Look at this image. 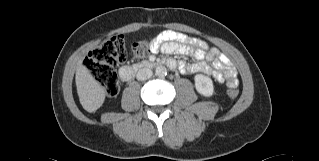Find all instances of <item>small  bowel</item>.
<instances>
[{"mask_svg": "<svg viewBox=\"0 0 319 161\" xmlns=\"http://www.w3.org/2000/svg\"><path fill=\"white\" fill-rule=\"evenodd\" d=\"M153 54H179L192 56L197 61L193 63L181 62L179 69L185 74H212L220 83L238 85L237 69L231 64L227 56L216 48L197 38H190L186 34L175 30H164L157 35L150 48Z\"/></svg>", "mask_w": 319, "mask_h": 161, "instance_id": "c3829d8e", "label": "small bowel"}]
</instances>
